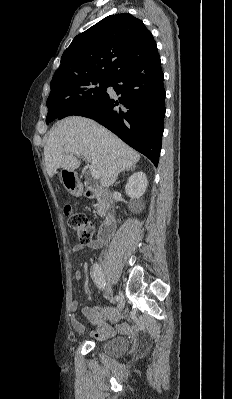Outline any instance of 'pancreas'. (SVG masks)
Segmentation results:
<instances>
[{
    "instance_id": "1",
    "label": "pancreas",
    "mask_w": 232,
    "mask_h": 399,
    "mask_svg": "<svg viewBox=\"0 0 232 399\" xmlns=\"http://www.w3.org/2000/svg\"><path fill=\"white\" fill-rule=\"evenodd\" d=\"M97 207L98 215H106V205L103 200H98Z\"/></svg>"
}]
</instances>
